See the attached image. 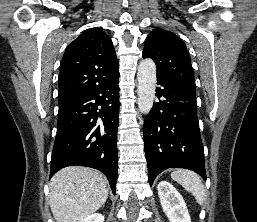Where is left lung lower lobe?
I'll use <instances>...</instances> for the list:
<instances>
[{"label":"left lung lower lobe","instance_id":"left-lung-lower-lobe-1","mask_svg":"<svg viewBox=\"0 0 257 222\" xmlns=\"http://www.w3.org/2000/svg\"><path fill=\"white\" fill-rule=\"evenodd\" d=\"M159 101L143 126L149 183L167 168H185L206 180L196 92L157 75ZM161 98V99H160Z\"/></svg>","mask_w":257,"mask_h":222}]
</instances>
